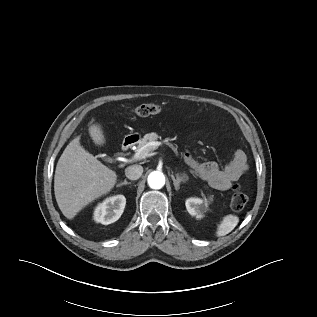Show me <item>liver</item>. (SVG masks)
<instances>
[{"label": "liver", "instance_id": "liver-1", "mask_svg": "<svg viewBox=\"0 0 317 317\" xmlns=\"http://www.w3.org/2000/svg\"><path fill=\"white\" fill-rule=\"evenodd\" d=\"M93 141L105 142L100 125L89 126ZM117 182L116 172L103 165L73 139L58 160L54 176V192L62 214L73 219L90 202L107 194Z\"/></svg>", "mask_w": 317, "mask_h": 317}]
</instances>
